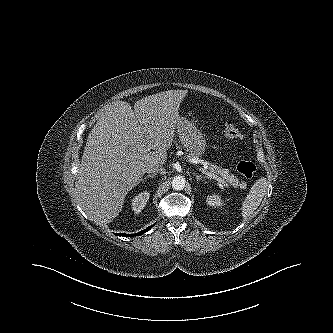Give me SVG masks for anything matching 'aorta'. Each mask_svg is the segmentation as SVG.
<instances>
[{
    "mask_svg": "<svg viewBox=\"0 0 333 333\" xmlns=\"http://www.w3.org/2000/svg\"><path fill=\"white\" fill-rule=\"evenodd\" d=\"M186 180L182 176H176L172 180V188L174 190H183L185 187Z\"/></svg>",
    "mask_w": 333,
    "mask_h": 333,
    "instance_id": "1",
    "label": "aorta"
}]
</instances>
